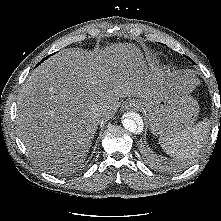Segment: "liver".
I'll return each instance as SVG.
<instances>
[{
	"label": "liver",
	"mask_w": 221,
	"mask_h": 221,
	"mask_svg": "<svg viewBox=\"0 0 221 221\" xmlns=\"http://www.w3.org/2000/svg\"><path fill=\"white\" fill-rule=\"evenodd\" d=\"M139 49L117 44L84 55L66 49L33 72L19 98V127L36 159L81 163L102 118L120 98L151 95Z\"/></svg>",
	"instance_id": "obj_1"
}]
</instances>
